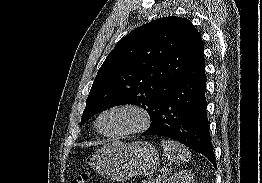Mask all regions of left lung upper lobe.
I'll return each mask as SVG.
<instances>
[{"mask_svg":"<svg viewBox=\"0 0 262 183\" xmlns=\"http://www.w3.org/2000/svg\"><path fill=\"white\" fill-rule=\"evenodd\" d=\"M203 51L200 33L185 18L163 17L131 31L100 67L81 124L97 112L122 104L140 105L152 120Z\"/></svg>","mask_w":262,"mask_h":183,"instance_id":"left-lung-upper-lobe-1","label":"left lung upper lobe"}]
</instances>
